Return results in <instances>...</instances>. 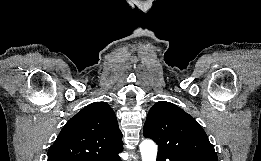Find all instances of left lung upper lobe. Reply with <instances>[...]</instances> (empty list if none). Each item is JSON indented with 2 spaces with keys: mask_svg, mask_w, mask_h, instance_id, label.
<instances>
[{
  "mask_svg": "<svg viewBox=\"0 0 261 161\" xmlns=\"http://www.w3.org/2000/svg\"><path fill=\"white\" fill-rule=\"evenodd\" d=\"M143 134L159 146V151L201 161H217L214 146L196 120L178 106L157 102L150 109Z\"/></svg>",
  "mask_w": 261,
  "mask_h": 161,
  "instance_id": "left-lung-upper-lobe-1",
  "label": "left lung upper lobe"
}]
</instances>
